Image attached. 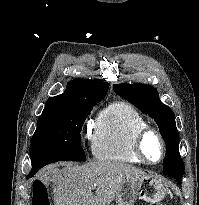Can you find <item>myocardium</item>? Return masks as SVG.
<instances>
[{"label": "myocardium", "instance_id": "f54148a6", "mask_svg": "<svg viewBox=\"0 0 199 205\" xmlns=\"http://www.w3.org/2000/svg\"><path fill=\"white\" fill-rule=\"evenodd\" d=\"M149 135H154L161 146V156L159 158L158 161H151L146 153H145V149H144V142L145 139L149 136ZM133 151L135 153V155L143 162L146 163L148 165H156L159 164L160 162L163 161V159L165 158L166 155V143L165 140L162 136V134L160 133L159 130H157L156 128L147 126L146 128L138 131L134 137V141H133Z\"/></svg>", "mask_w": 199, "mask_h": 205}]
</instances>
